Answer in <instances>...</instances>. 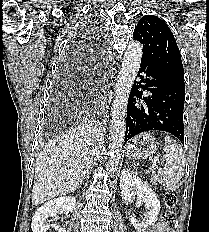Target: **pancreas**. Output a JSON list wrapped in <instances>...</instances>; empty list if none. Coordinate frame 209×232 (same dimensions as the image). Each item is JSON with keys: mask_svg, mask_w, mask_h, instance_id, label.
I'll return each instance as SVG.
<instances>
[{"mask_svg": "<svg viewBox=\"0 0 209 232\" xmlns=\"http://www.w3.org/2000/svg\"><path fill=\"white\" fill-rule=\"evenodd\" d=\"M153 180L156 181L157 180V176L153 173L152 174Z\"/></svg>", "mask_w": 209, "mask_h": 232, "instance_id": "pancreas-1", "label": "pancreas"}]
</instances>
